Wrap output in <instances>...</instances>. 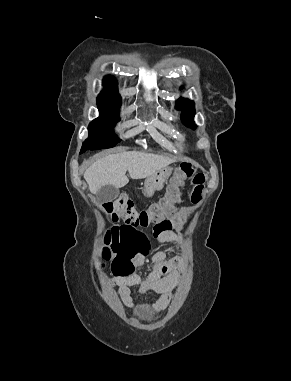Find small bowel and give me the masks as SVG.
I'll use <instances>...</instances> for the list:
<instances>
[{"label":"small bowel","mask_w":291,"mask_h":381,"mask_svg":"<svg viewBox=\"0 0 291 381\" xmlns=\"http://www.w3.org/2000/svg\"><path fill=\"white\" fill-rule=\"evenodd\" d=\"M188 214L189 208L181 207L168 220L169 229H154L153 238L155 241L157 243H174L182 249L184 245L182 230ZM142 243L146 244V240L144 239ZM132 262L136 266L141 265L143 263V256L140 253L136 254ZM151 264L153 272L145 279L132 274L128 276H115L110 280V285L117 288L119 298L125 306H135L131 291L133 286H137L142 294L147 292L157 293L158 297L151 306L154 312L165 310L169 305L172 290L177 285L180 274L186 271V258L183 255L168 258L166 251H160L151 257ZM158 274H162L163 277H158Z\"/></svg>","instance_id":"c3829d8e"}]
</instances>
